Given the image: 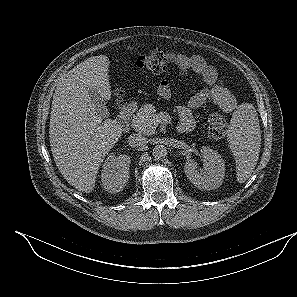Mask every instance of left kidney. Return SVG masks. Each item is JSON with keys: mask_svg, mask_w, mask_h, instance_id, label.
<instances>
[{"mask_svg": "<svg viewBox=\"0 0 297 297\" xmlns=\"http://www.w3.org/2000/svg\"><path fill=\"white\" fill-rule=\"evenodd\" d=\"M204 173H199L198 163L190 159L184 165V171L191 183L198 189H217L225 176V162L221 155L209 147H202Z\"/></svg>", "mask_w": 297, "mask_h": 297, "instance_id": "left-kidney-1", "label": "left kidney"}]
</instances>
